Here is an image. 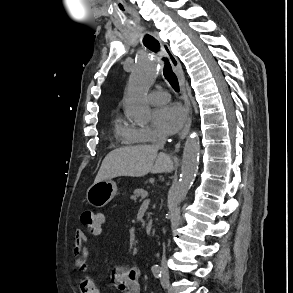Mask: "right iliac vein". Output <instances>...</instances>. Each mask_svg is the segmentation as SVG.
<instances>
[{
	"mask_svg": "<svg viewBox=\"0 0 293 293\" xmlns=\"http://www.w3.org/2000/svg\"><path fill=\"white\" fill-rule=\"evenodd\" d=\"M164 278H165L166 286H167V289H168V293H174L173 289H172V287L170 285L168 276H165Z\"/></svg>",
	"mask_w": 293,
	"mask_h": 293,
	"instance_id": "right-iliac-vein-1",
	"label": "right iliac vein"
}]
</instances>
